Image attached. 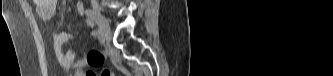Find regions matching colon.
Instances as JSON below:
<instances>
[{
	"label": "colon",
	"instance_id": "colon-1",
	"mask_svg": "<svg viewBox=\"0 0 333 76\" xmlns=\"http://www.w3.org/2000/svg\"><path fill=\"white\" fill-rule=\"evenodd\" d=\"M87 76H96L97 74L91 70H88L86 73ZM101 76H112V72L110 70H104L100 73Z\"/></svg>",
	"mask_w": 333,
	"mask_h": 76
}]
</instances>
